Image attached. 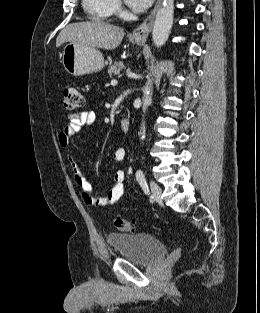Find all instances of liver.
I'll use <instances>...</instances> for the list:
<instances>
[{
    "mask_svg": "<svg viewBox=\"0 0 260 313\" xmlns=\"http://www.w3.org/2000/svg\"><path fill=\"white\" fill-rule=\"evenodd\" d=\"M124 37L123 28L102 22H76L64 28L57 37L56 46L65 42L76 43L93 48L112 50L117 48Z\"/></svg>",
    "mask_w": 260,
    "mask_h": 313,
    "instance_id": "liver-1",
    "label": "liver"
}]
</instances>
